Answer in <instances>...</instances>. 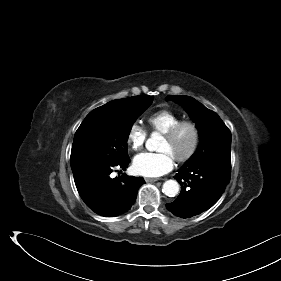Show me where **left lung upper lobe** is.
<instances>
[{"label": "left lung upper lobe", "mask_w": 281, "mask_h": 281, "mask_svg": "<svg viewBox=\"0 0 281 281\" xmlns=\"http://www.w3.org/2000/svg\"><path fill=\"white\" fill-rule=\"evenodd\" d=\"M166 100H173L181 104L199 130L200 145L185 165L210 159H231V132L218 114L189 96L169 95Z\"/></svg>", "instance_id": "obj_1"}]
</instances>
